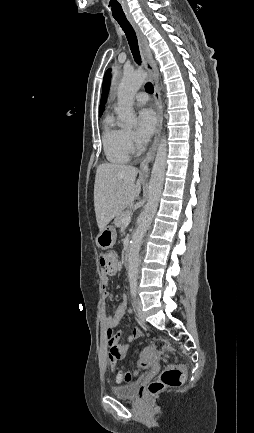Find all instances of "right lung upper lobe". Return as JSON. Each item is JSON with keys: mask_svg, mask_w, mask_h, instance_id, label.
Segmentation results:
<instances>
[{"mask_svg": "<svg viewBox=\"0 0 254 433\" xmlns=\"http://www.w3.org/2000/svg\"><path fill=\"white\" fill-rule=\"evenodd\" d=\"M109 74H110V69L106 72V74L104 76L103 94H102V99H101V104H100V112H99L100 116H101L102 112L104 111V104H105L106 98H107L106 89H107V81H108Z\"/></svg>", "mask_w": 254, "mask_h": 433, "instance_id": "cb5924a9", "label": "right lung upper lobe"}]
</instances>
